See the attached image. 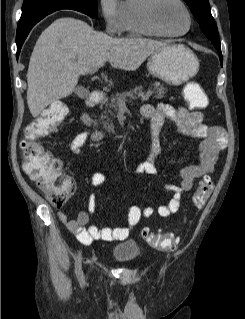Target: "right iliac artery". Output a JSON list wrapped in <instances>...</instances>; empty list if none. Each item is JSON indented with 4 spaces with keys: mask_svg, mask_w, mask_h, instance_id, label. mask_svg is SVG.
<instances>
[{
    "mask_svg": "<svg viewBox=\"0 0 245 319\" xmlns=\"http://www.w3.org/2000/svg\"><path fill=\"white\" fill-rule=\"evenodd\" d=\"M75 267H76V273H77L79 281L83 282V274L81 272V253L80 252L78 253V256L76 258Z\"/></svg>",
    "mask_w": 245,
    "mask_h": 319,
    "instance_id": "right-iliac-artery-1",
    "label": "right iliac artery"
}]
</instances>
